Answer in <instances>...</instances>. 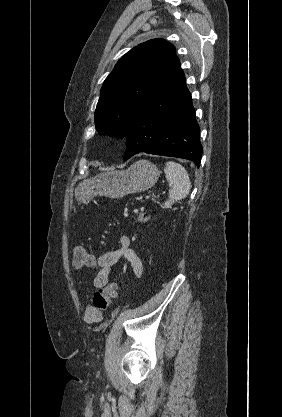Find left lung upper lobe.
Wrapping results in <instances>:
<instances>
[{"label":"left lung upper lobe","mask_w":282,"mask_h":417,"mask_svg":"<svg viewBox=\"0 0 282 417\" xmlns=\"http://www.w3.org/2000/svg\"><path fill=\"white\" fill-rule=\"evenodd\" d=\"M178 61L175 47L163 39L141 43L126 53L101 88L95 111L99 134L125 137L133 113Z\"/></svg>","instance_id":"left-lung-upper-lobe-1"}]
</instances>
